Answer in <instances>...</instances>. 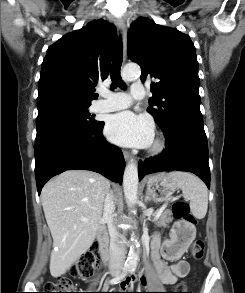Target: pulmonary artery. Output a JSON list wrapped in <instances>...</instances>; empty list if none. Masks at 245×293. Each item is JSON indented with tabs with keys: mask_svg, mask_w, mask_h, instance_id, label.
Masks as SVG:
<instances>
[{
	"mask_svg": "<svg viewBox=\"0 0 245 293\" xmlns=\"http://www.w3.org/2000/svg\"><path fill=\"white\" fill-rule=\"evenodd\" d=\"M100 95L102 96V99L96 103L95 110L98 112H112L128 108L132 104V98H143L145 95V89L143 84L133 83L130 94L102 90Z\"/></svg>",
	"mask_w": 245,
	"mask_h": 293,
	"instance_id": "1",
	"label": "pulmonary artery"
}]
</instances>
